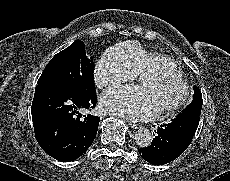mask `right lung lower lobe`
Wrapping results in <instances>:
<instances>
[{"label": "right lung lower lobe", "instance_id": "obj_1", "mask_svg": "<svg viewBox=\"0 0 230 181\" xmlns=\"http://www.w3.org/2000/svg\"><path fill=\"white\" fill-rule=\"evenodd\" d=\"M97 95L69 88H43L35 91L32 120L41 148L61 162L73 161L93 143L99 117L83 115L94 108Z\"/></svg>", "mask_w": 230, "mask_h": 181}]
</instances>
